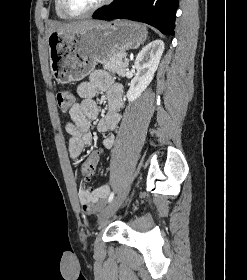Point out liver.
I'll return each mask as SVG.
<instances>
[{"mask_svg":"<svg viewBox=\"0 0 247 280\" xmlns=\"http://www.w3.org/2000/svg\"><path fill=\"white\" fill-rule=\"evenodd\" d=\"M101 21L95 20H84L71 23H53L49 28V33L58 32V33H78L83 32L97 24Z\"/></svg>","mask_w":247,"mask_h":280,"instance_id":"1","label":"liver"}]
</instances>
